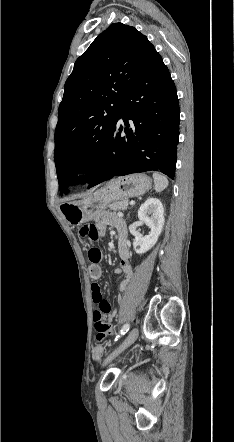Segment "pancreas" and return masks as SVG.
Masks as SVG:
<instances>
[{
	"instance_id": "pancreas-1",
	"label": "pancreas",
	"mask_w": 234,
	"mask_h": 442,
	"mask_svg": "<svg viewBox=\"0 0 234 442\" xmlns=\"http://www.w3.org/2000/svg\"><path fill=\"white\" fill-rule=\"evenodd\" d=\"M128 204H129L128 199L115 201L109 205V210L110 211L126 210L128 207Z\"/></svg>"
}]
</instances>
